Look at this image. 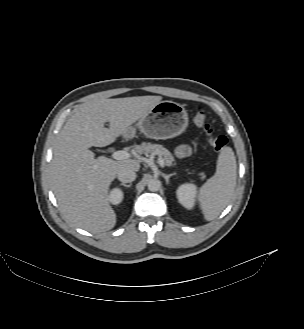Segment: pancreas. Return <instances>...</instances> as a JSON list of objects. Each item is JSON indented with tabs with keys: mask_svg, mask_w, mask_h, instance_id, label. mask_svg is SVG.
<instances>
[{
	"mask_svg": "<svg viewBox=\"0 0 304 329\" xmlns=\"http://www.w3.org/2000/svg\"><path fill=\"white\" fill-rule=\"evenodd\" d=\"M137 151L140 154H145L146 156L150 154H158L162 157L167 166H174V157L171 152L159 144H152V143H142L138 148ZM201 179L205 178V174L203 172L199 173Z\"/></svg>",
	"mask_w": 304,
	"mask_h": 329,
	"instance_id": "cf45deb5",
	"label": "pancreas"
}]
</instances>
